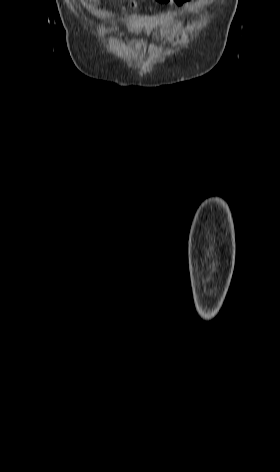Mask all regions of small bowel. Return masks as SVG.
I'll return each mask as SVG.
<instances>
[{
	"mask_svg": "<svg viewBox=\"0 0 280 472\" xmlns=\"http://www.w3.org/2000/svg\"><path fill=\"white\" fill-rule=\"evenodd\" d=\"M191 0H179V2H176L178 6H185L187 5Z\"/></svg>",
	"mask_w": 280,
	"mask_h": 472,
	"instance_id": "obj_1",
	"label": "small bowel"
}]
</instances>
